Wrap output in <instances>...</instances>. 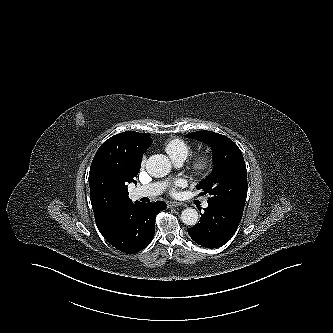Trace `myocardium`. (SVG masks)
Instances as JSON below:
<instances>
[{"mask_svg":"<svg viewBox=\"0 0 333 333\" xmlns=\"http://www.w3.org/2000/svg\"><path fill=\"white\" fill-rule=\"evenodd\" d=\"M213 165L212 156L208 152L197 153L190 162V168L196 175H207Z\"/></svg>","mask_w":333,"mask_h":333,"instance_id":"obj_1","label":"myocardium"}]
</instances>
